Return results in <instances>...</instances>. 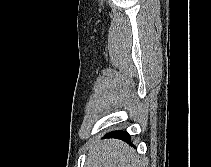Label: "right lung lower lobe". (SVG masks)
<instances>
[{
  "label": "right lung lower lobe",
  "instance_id": "obj_1",
  "mask_svg": "<svg viewBox=\"0 0 211 167\" xmlns=\"http://www.w3.org/2000/svg\"><path fill=\"white\" fill-rule=\"evenodd\" d=\"M105 138H117V139H121L123 141H126L127 143H131L130 142V135L126 132V131H112L110 133H108Z\"/></svg>",
  "mask_w": 211,
  "mask_h": 167
}]
</instances>
